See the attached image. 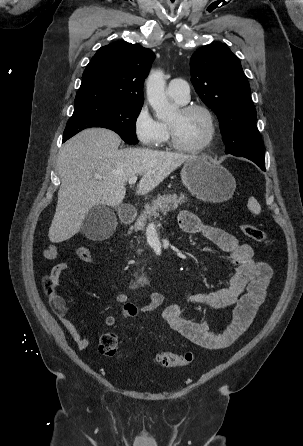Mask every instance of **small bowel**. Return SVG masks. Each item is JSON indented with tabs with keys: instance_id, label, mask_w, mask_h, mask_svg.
Returning <instances> with one entry per match:
<instances>
[{
	"instance_id": "c3829d8e",
	"label": "small bowel",
	"mask_w": 303,
	"mask_h": 446,
	"mask_svg": "<svg viewBox=\"0 0 303 446\" xmlns=\"http://www.w3.org/2000/svg\"><path fill=\"white\" fill-rule=\"evenodd\" d=\"M178 222L184 232L202 236L227 253L230 257V270L232 271L226 287L207 293L186 292L183 294V300L186 303L204 306L212 310L233 307V317L229 326L222 332L211 331L206 324L190 318L179 304L168 306L163 312V318L173 330L201 347L207 349L227 348L250 326L259 306L264 302L266 290L272 278V268L268 263L257 261L254 258L253 248L249 244L240 243L234 235L202 222L189 211H181ZM43 256L48 260L55 259L57 256L56 246L48 245L43 250ZM67 269V263H59L51 269L49 276L54 288L59 286V277ZM114 300L122 304V317L132 319L156 310L163 303L164 296L160 292L151 291L148 303L142 306L125 293L116 294ZM50 303L78 348L86 349L89 340L67 317V306L64 299L55 291ZM115 323L116 318L113 315L104 318L106 327H112Z\"/></svg>"
}]
</instances>
